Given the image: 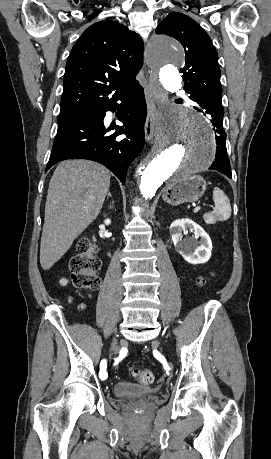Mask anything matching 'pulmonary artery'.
I'll return each mask as SVG.
<instances>
[{
	"label": "pulmonary artery",
	"mask_w": 271,
	"mask_h": 459,
	"mask_svg": "<svg viewBox=\"0 0 271 459\" xmlns=\"http://www.w3.org/2000/svg\"><path fill=\"white\" fill-rule=\"evenodd\" d=\"M177 95L178 96H182V97H185L186 96V93L185 92H182V91H178L177 92ZM184 103L187 105V106H193V108L195 110H201L203 108V103L201 101H196V99L194 97H187L185 100H184ZM110 119V112H107L106 116H105V120L108 121Z\"/></svg>",
	"instance_id": "pulmonary-artery-1"
}]
</instances>
